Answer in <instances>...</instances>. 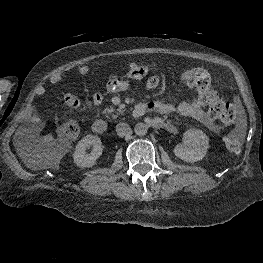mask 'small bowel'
I'll return each instance as SVG.
<instances>
[{
  "instance_id": "small-bowel-1",
  "label": "small bowel",
  "mask_w": 263,
  "mask_h": 263,
  "mask_svg": "<svg viewBox=\"0 0 263 263\" xmlns=\"http://www.w3.org/2000/svg\"><path fill=\"white\" fill-rule=\"evenodd\" d=\"M157 68V64L147 63L142 64L138 62H130L127 64L125 71L119 76L110 77L105 85L106 91L108 92H119L125 91L132 86L133 82H143L144 88L146 90L155 89L160 83V77L154 71ZM90 73V68L86 65L81 66L77 69V76H86ZM72 77H68L64 74H54L49 78V82L53 85L59 84L61 82L70 80ZM45 94L44 87H38L36 90V96L42 97ZM104 96L103 93L99 90H95L91 94V102L94 106H100L103 102ZM63 100L65 104L73 109L83 110L85 105L81 100L72 94L69 91L63 93ZM150 110L156 109L163 114H169L173 111H177L180 115L191 117L197 121H200L211 131H218L219 127L216 124L215 120L212 119L203 109L204 104L198 98L193 102L180 101L178 104L173 105L172 103L166 100H158L146 103ZM40 126L38 117L33 111L30 125L27 128V132L31 137H34L39 134ZM40 142L45 145H53L55 143V138L51 135H44L39 138Z\"/></svg>"
}]
</instances>
